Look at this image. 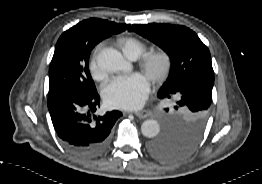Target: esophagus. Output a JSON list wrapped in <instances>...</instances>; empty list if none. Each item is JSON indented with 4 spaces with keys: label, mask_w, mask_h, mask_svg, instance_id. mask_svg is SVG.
Instances as JSON below:
<instances>
[{
    "label": "esophagus",
    "mask_w": 262,
    "mask_h": 184,
    "mask_svg": "<svg viewBox=\"0 0 262 184\" xmlns=\"http://www.w3.org/2000/svg\"><path fill=\"white\" fill-rule=\"evenodd\" d=\"M137 114L140 115V116H142V117H143V116H146V115H143V113H137Z\"/></svg>",
    "instance_id": "1"
}]
</instances>
